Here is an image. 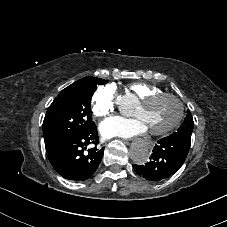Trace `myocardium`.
Here are the masks:
<instances>
[{
	"label": "myocardium",
	"mask_w": 227,
	"mask_h": 227,
	"mask_svg": "<svg viewBox=\"0 0 227 227\" xmlns=\"http://www.w3.org/2000/svg\"><path fill=\"white\" fill-rule=\"evenodd\" d=\"M162 97H171L172 99H174L178 105L179 113H178L176 119L174 120V122L171 125H169L166 129L160 130V131L149 130L148 132L153 136H164L165 134L173 131L181 124V122L183 121V119L185 117V111H186L185 104L182 101V99L174 93L161 91L158 93L149 94V95H146V96H143L142 98H140L139 104L141 106L147 105Z\"/></svg>",
	"instance_id": "myocardium-1"
}]
</instances>
